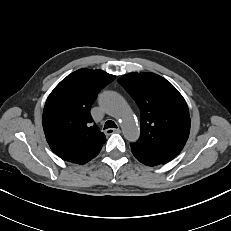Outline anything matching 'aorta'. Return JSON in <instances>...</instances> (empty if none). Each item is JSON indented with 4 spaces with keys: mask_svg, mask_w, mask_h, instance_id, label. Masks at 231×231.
Wrapping results in <instances>:
<instances>
[{
    "mask_svg": "<svg viewBox=\"0 0 231 231\" xmlns=\"http://www.w3.org/2000/svg\"><path fill=\"white\" fill-rule=\"evenodd\" d=\"M99 104L106 113L120 121L123 135L128 141H137L140 135L139 127L129 105L121 95L111 91L104 92L99 98Z\"/></svg>",
    "mask_w": 231,
    "mask_h": 231,
    "instance_id": "obj_1",
    "label": "aorta"
}]
</instances>
